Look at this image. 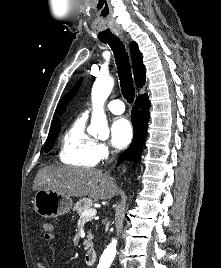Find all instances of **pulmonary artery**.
<instances>
[{
    "label": "pulmonary artery",
    "mask_w": 221,
    "mask_h": 268,
    "mask_svg": "<svg viewBox=\"0 0 221 268\" xmlns=\"http://www.w3.org/2000/svg\"><path fill=\"white\" fill-rule=\"evenodd\" d=\"M107 108L110 112H112L113 114H117V115L122 114L125 110L124 103L119 99L110 101L107 104ZM90 112H91V109H87L84 112V115L87 116Z\"/></svg>",
    "instance_id": "pulmonary-artery-1"
}]
</instances>
